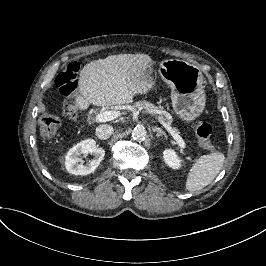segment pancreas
Wrapping results in <instances>:
<instances>
[{"label":"pancreas","mask_w":266,"mask_h":266,"mask_svg":"<svg viewBox=\"0 0 266 266\" xmlns=\"http://www.w3.org/2000/svg\"><path fill=\"white\" fill-rule=\"evenodd\" d=\"M134 106L139 108V109H142L146 113L152 114L153 116L156 117V119L159 122H163V121H166L167 123L172 122V120L170 119V113H168L165 110H162L161 108L155 106L154 104L150 103L149 101H146V100L138 101V102H135ZM173 130L176 133H179L178 129L173 128Z\"/></svg>","instance_id":"obj_1"}]
</instances>
